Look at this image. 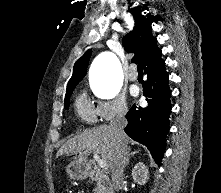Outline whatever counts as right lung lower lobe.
Segmentation results:
<instances>
[{
    "label": "right lung lower lobe",
    "instance_id": "right-lung-lower-lobe-1",
    "mask_svg": "<svg viewBox=\"0 0 221 193\" xmlns=\"http://www.w3.org/2000/svg\"><path fill=\"white\" fill-rule=\"evenodd\" d=\"M147 80L143 84V94L148 106L133 105L126 118L128 124L124 131L135 141L144 144L155 162L160 165L166 148V134L169 131L171 112V90L165 62L145 72Z\"/></svg>",
    "mask_w": 221,
    "mask_h": 193
}]
</instances>
